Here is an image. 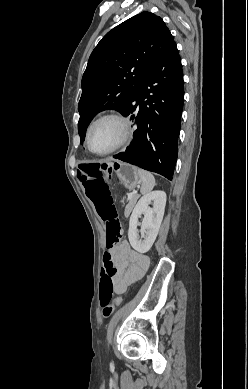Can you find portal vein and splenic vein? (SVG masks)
Wrapping results in <instances>:
<instances>
[{"label": "portal vein and splenic vein", "mask_w": 248, "mask_h": 389, "mask_svg": "<svg viewBox=\"0 0 248 389\" xmlns=\"http://www.w3.org/2000/svg\"><path fill=\"white\" fill-rule=\"evenodd\" d=\"M133 197V193L128 194V198L131 199Z\"/></svg>", "instance_id": "1"}]
</instances>
